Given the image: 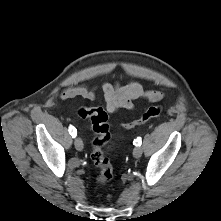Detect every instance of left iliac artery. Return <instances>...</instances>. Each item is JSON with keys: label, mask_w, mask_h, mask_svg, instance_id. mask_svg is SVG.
<instances>
[{"label": "left iliac artery", "mask_w": 221, "mask_h": 221, "mask_svg": "<svg viewBox=\"0 0 221 221\" xmlns=\"http://www.w3.org/2000/svg\"><path fill=\"white\" fill-rule=\"evenodd\" d=\"M142 140L140 137H138L136 140L133 141V144L136 146H141Z\"/></svg>", "instance_id": "1"}]
</instances>
